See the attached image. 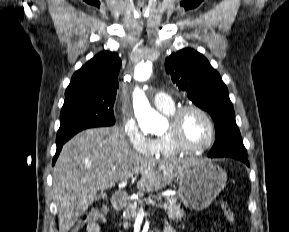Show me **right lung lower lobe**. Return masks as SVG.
I'll use <instances>...</instances> for the list:
<instances>
[{
	"label": "right lung lower lobe",
	"mask_w": 289,
	"mask_h": 232,
	"mask_svg": "<svg viewBox=\"0 0 289 232\" xmlns=\"http://www.w3.org/2000/svg\"><path fill=\"white\" fill-rule=\"evenodd\" d=\"M62 146H63V144H61V145H57V150H56V154H55V156H54V158H53V165H54V163H55V161H56V159H57V157H58V155H59V153H60V151H61V149H62Z\"/></svg>",
	"instance_id": "1"
}]
</instances>
